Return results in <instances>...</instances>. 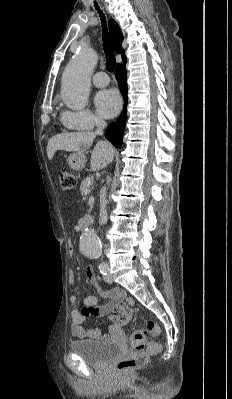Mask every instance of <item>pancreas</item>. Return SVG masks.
Listing matches in <instances>:
<instances>
[{
	"mask_svg": "<svg viewBox=\"0 0 232 399\" xmlns=\"http://www.w3.org/2000/svg\"><path fill=\"white\" fill-rule=\"evenodd\" d=\"M91 186H93V182L92 180H89V178H86V180L81 182L79 190L82 196H84V192H86V190H90Z\"/></svg>",
	"mask_w": 232,
	"mask_h": 399,
	"instance_id": "pancreas-1",
	"label": "pancreas"
}]
</instances>
